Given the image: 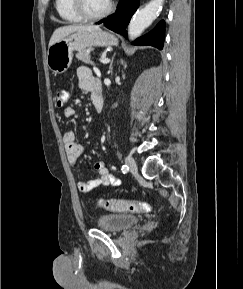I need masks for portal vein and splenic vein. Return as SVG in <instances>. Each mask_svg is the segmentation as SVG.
<instances>
[{"label": "portal vein and splenic vein", "instance_id": "1", "mask_svg": "<svg viewBox=\"0 0 243 289\" xmlns=\"http://www.w3.org/2000/svg\"><path fill=\"white\" fill-rule=\"evenodd\" d=\"M100 62H101L102 64H107V63L110 62V59H108V58H102V59H100Z\"/></svg>", "mask_w": 243, "mask_h": 289}]
</instances>
